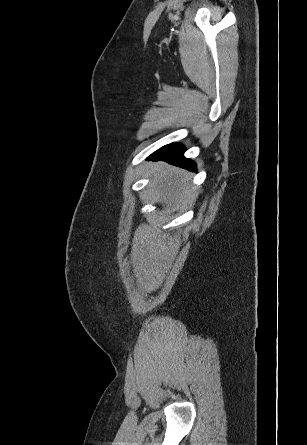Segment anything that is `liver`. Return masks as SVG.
<instances>
[{"label": "liver", "instance_id": "liver-1", "mask_svg": "<svg viewBox=\"0 0 307 445\" xmlns=\"http://www.w3.org/2000/svg\"><path fill=\"white\" fill-rule=\"evenodd\" d=\"M156 164L155 190L162 202L175 208L178 202H185L186 198H195L197 192H192L193 186L190 184L187 170L168 166L164 162H156Z\"/></svg>", "mask_w": 307, "mask_h": 445}]
</instances>
